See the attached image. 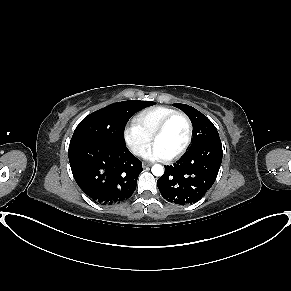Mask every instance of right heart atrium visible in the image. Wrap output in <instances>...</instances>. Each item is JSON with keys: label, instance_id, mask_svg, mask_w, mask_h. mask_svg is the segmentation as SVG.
I'll use <instances>...</instances> for the list:
<instances>
[{"label": "right heart atrium", "instance_id": "d8ad5b80", "mask_svg": "<svg viewBox=\"0 0 291 291\" xmlns=\"http://www.w3.org/2000/svg\"><path fill=\"white\" fill-rule=\"evenodd\" d=\"M126 145L134 155H140L151 141L148 135L135 121L129 123L123 132Z\"/></svg>", "mask_w": 291, "mask_h": 291}]
</instances>
